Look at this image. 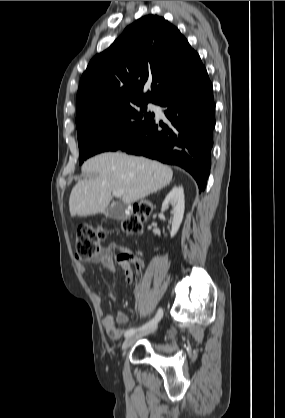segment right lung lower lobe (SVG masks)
Listing matches in <instances>:
<instances>
[{
	"instance_id": "obj_1",
	"label": "right lung lower lobe",
	"mask_w": 285,
	"mask_h": 418,
	"mask_svg": "<svg viewBox=\"0 0 285 418\" xmlns=\"http://www.w3.org/2000/svg\"><path fill=\"white\" fill-rule=\"evenodd\" d=\"M206 69L195 79L178 87L157 105L171 122L154 119L117 150L142 155L188 171L204 190L210 174L215 102Z\"/></svg>"
}]
</instances>
